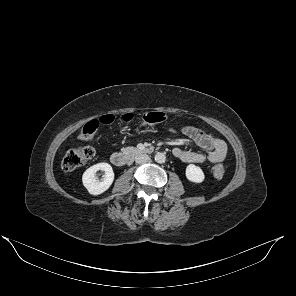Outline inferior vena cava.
<instances>
[{
    "label": "inferior vena cava",
    "instance_id": "obj_1",
    "mask_svg": "<svg viewBox=\"0 0 296 296\" xmlns=\"http://www.w3.org/2000/svg\"><path fill=\"white\" fill-rule=\"evenodd\" d=\"M149 159H150L149 156L144 153H139L135 156V162L138 164L147 163L149 161Z\"/></svg>",
    "mask_w": 296,
    "mask_h": 296
}]
</instances>
